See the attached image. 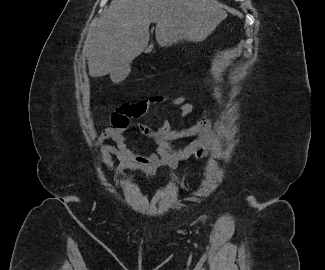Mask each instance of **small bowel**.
<instances>
[{
  "instance_id": "small-bowel-1",
  "label": "small bowel",
  "mask_w": 325,
  "mask_h": 270,
  "mask_svg": "<svg viewBox=\"0 0 325 270\" xmlns=\"http://www.w3.org/2000/svg\"><path fill=\"white\" fill-rule=\"evenodd\" d=\"M155 103H169L180 106L183 119L193 108L192 103L182 96L157 95L133 103H119L114 113L113 125L104 128L97 139L101 148L102 162L108 172L113 167L112 158L118 162L116 167L118 175L126 179L129 177L125 174V170L135 165L143 167L148 175H152L154 169L159 166L176 168L182 160L189 157L200 159L208 154L213 144L209 132L212 113L210 110H206L202 118L189 128H183L182 123L177 127H173L166 118L161 121V124L156 129L141 122H132L130 120V118H140L149 113L152 104ZM131 125L136 126L143 136L157 144L156 153L141 155L127 148L129 138L125 135V131ZM194 136L196 138L183 148L175 149L171 145L175 140ZM107 140H111L115 144H104Z\"/></svg>"
}]
</instances>
